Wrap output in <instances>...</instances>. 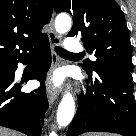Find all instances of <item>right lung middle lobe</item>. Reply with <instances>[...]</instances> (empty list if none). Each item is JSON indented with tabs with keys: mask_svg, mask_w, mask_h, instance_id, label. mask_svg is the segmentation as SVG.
<instances>
[{
	"mask_svg": "<svg viewBox=\"0 0 136 136\" xmlns=\"http://www.w3.org/2000/svg\"><path fill=\"white\" fill-rule=\"evenodd\" d=\"M7 69V64H0V71H5Z\"/></svg>",
	"mask_w": 136,
	"mask_h": 136,
	"instance_id": "1",
	"label": "right lung middle lobe"
}]
</instances>
